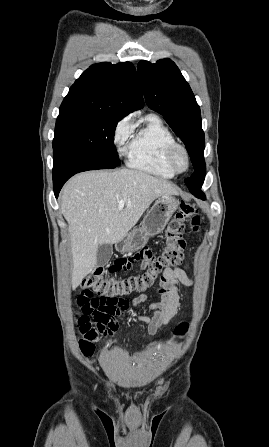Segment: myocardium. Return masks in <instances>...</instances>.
Wrapping results in <instances>:
<instances>
[{
	"instance_id": "f54148a6",
	"label": "myocardium",
	"mask_w": 269,
	"mask_h": 447,
	"mask_svg": "<svg viewBox=\"0 0 269 447\" xmlns=\"http://www.w3.org/2000/svg\"><path fill=\"white\" fill-rule=\"evenodd\" d=\"M180 155L183 156L185 163H186V166L184 169H180L178 166V158ZM167 162H168L169 166L176 173L185 172L189 168V165H190V158H189V153H188L187 149L183 145L174 143L168 151Z\"/></svg>"
}]
</instances>
